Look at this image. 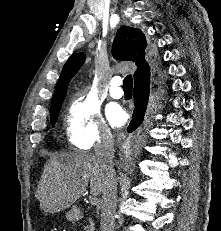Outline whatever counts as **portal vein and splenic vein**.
Listing matches in <instances>:
<instances>
[{"label":"portal vein and splenic vein","mask_w":221,"mask_h":231,"mask_svg":"<svg viewBox=\"0 0 221 231\" xmlns=\"http://www.w3.org/2000/svg\"><path fill=\"white\" fill-rule=\"evenodd\" d=\"M98 202L99 201H98V199L96 197H94V198L91 199V204L92 205H97Z\"/></svg>","instance_id":"obj_1"}]
</instances>
